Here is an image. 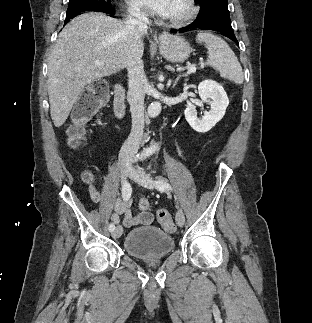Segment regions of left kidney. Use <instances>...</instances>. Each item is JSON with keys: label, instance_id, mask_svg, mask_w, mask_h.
I'll return each mask as SVG.
<instances>
[{"label": "left kidney", "instance_id": "1", "mask_svg": "<svg viewBox=\"0 0 312 323\" xmlns=\"http://www.w3.org/2000/svg\"><path fill=\"white\" fill-rule=\"evenodd\" d=\"M198 92L201 100L210 104L209 112H204L203 118H197L196 106H201V104H194V106H187L184 114L189 126L195 132L204 134V132H209L217 122L222 120L229 100L222 86L217 82H213V80L201 82L198 86Z\"/></svg>", "mask_w": 312, "mask_h": 323}]
</instances>
